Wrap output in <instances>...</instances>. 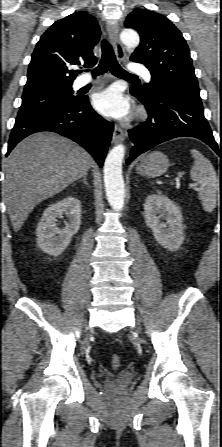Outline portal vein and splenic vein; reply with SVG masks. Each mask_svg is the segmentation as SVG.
<instances>
[{
	"label": "portal vein and splenic vein",
	"mask_w": 222,
	"mask_h": 447,
	"mask_svg": "<svg viewBox=\"0 0 222 447\" xmlns=\"http://www.w3.org/2000/svg\"><path fill=\"white\" fill-rule=\"evenodd\" d=\"M178 178H182V175H178ZM192 188L197 189V184L193 183L191 184Z\"/></svg>",
	"instance_id": "1"
}]
</instances>
